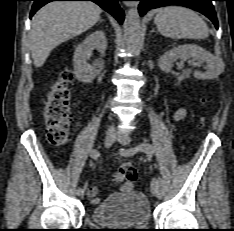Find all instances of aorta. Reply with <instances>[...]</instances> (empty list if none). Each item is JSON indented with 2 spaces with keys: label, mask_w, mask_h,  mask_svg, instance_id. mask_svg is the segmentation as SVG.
<instances>
[{
  "label": "aorta",
  "mask_w": 234,
  "mask_h": 231,
  "mask_svg": "<svg viewBox=\"0 0 234 231\" xmlns=\"http://www.w3.org/2000/svg\"><path fill=\"white\" fill-rule=\"evenodd\" d=\"M124 39L131 52L137 53L141 45V25L136 8L128 10L123 24Z\"/></svg>",
  "instance_id": "obj_1"
}]
</instances>
